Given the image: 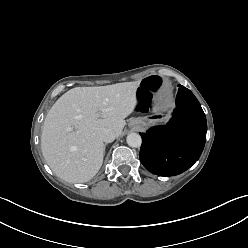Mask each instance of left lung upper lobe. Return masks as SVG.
I'll return each mask as SVG.
<instances>
[{
	"instance_id": "5c2ea615",
	"label": "left lung upper lobe",
	"mask_w": 248,
	"mask_h": 248,
	"mask_svg": "<svg viewBox=\"0 0 248 248\" xmlns=\"http://www.w3.org/2000/svg\"><path fill=\"white\" fill-rule=\"evenodd\" d=\"M178 86H179V88H180V87H183L182 85H178Z\"/></svg>"
}]
</instances>
